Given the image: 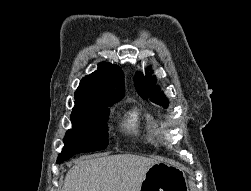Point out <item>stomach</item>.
Wrapping results in <instances>:
<instances>
[{"label": "stomach", "instance_id": "0dacf381", "mask_svg": "<svg viewBox=\"0 0 251 191\" xmlns=\"http://www.w3.org/2000/svg\"><path fill=\"white\" fill-rule=\"evenodd\" d=\"M140 191H188L186 175L175 165L157 161L148 169Z\"/></svg>", "mask_w": 251, "mask_h": 191}]
</instances>
